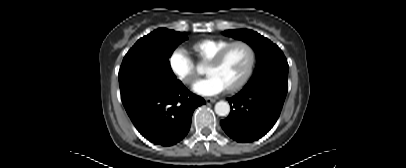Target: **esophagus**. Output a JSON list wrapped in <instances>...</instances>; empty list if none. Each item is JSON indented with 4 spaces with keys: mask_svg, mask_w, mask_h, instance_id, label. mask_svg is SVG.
<instances>
[{
    "mask_svg": "<svg viewBox=\"0 0 406 168\" xmlns=\"http://www.w3.org/2000/svg\"><path fill=\"white\" fill-rule=\"evenodd\" d=\"M205 101H206L207 104H209V103H215V102H216V99H215V98H209V97H207V98H205Z\"/></svg>",
    "mask_w": 406,
    "mask_h": 168,
    "instance_id": "34e87169",
    "label": "esophagus"
}]
</instances>
